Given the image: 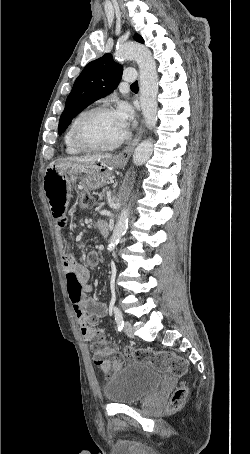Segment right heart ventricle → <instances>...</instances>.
Segmentation results:
<instances>
[{"label":"right heart ventricle","mask_w":250,"mask_h":454,"mask_svg":"<svg viewBox=\"0 0 250 454\" xmlns=\"http://www.w3.org/2000/svg\"><path fill=\"white\" fill-rule=\"evenodd\" d=\"M79 117V115L77 117H75L73 119V121L70 123L68 129L66 130V133H65V136H64V143H65V149H66V152L68 154H72V155H75V154H79L82 152V150H80L79 148H77L73 142H72V129H73V126L77 120V118Z\"/></svg>","instance_id":"e07e8e85"}]
</instances>
